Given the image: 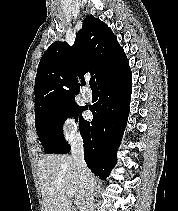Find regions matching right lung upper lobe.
I'll return each instance as SVG.
<instances>
[{"label":"right lung upper lobe","mask_w":178,"mask_h":211,"mask_svg":"<svg viewBox=\"0 0 178 211\" xmlns=\"http://www.w3.org/2000/svg\"><path fill=\"white\" fill-rule=\"evenodd\" d=\"M129 68L127 57L111 29L88 16L74 45L56 41L40 59L35 79V114L44 108L75 100L77 76L95 73L98 86Z\"/></svg>","instance_id":"right-lung-upper-lobe-1"}]
</instances>
